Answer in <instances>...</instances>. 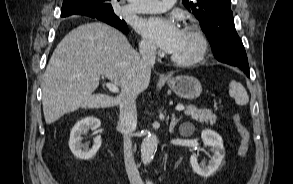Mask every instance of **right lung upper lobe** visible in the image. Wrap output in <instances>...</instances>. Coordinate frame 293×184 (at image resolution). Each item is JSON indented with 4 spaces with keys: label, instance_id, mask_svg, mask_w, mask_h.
Wrapping results in <instances>:
<instances>
[{
    "label": "right lung upper lobe",
    "instance_id": "obj_1",
    "mask_svg": "<svg viewBox=\"0 0 293 184\" xmlns=\"http://www.w3.org/2000/svg\"><path fill=\"white\" fill-rule=\"evenodd\" d=\"M91 1L101 4L105 9H113L111 0H63L61 16L67 17L74 14L86 15V16H97L94 13L88 11L83 7L81 2ZM111 20V19H108Z\"/></svg>",
    "mask_w": 293,
    "mask_h": 184
}]
</instances>
